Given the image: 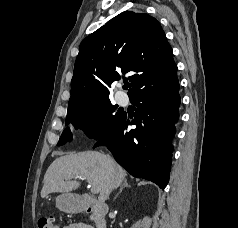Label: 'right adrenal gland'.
<instances>
[{
	"label": "right adrenal gland",
	"instance_id": "1",
	"mask_svg": "<svg viewBox=\"0 0 238 228\" xmlns=\"http://www.w3.org/2000/svg\"><path fill=\"white\" fill-rule=\"evenodd\" d=\"M125 187H128V188L131 187V186L128 184V182H127L126 179L124 180L123 184H122L121 187H120L119 192L116 194V196L114 197V199H116V198L118 197V195L122 192V190H123Z\"/></svg>",
	"mask_w": 238,
	"mask_h": 228
}]
</instances>
